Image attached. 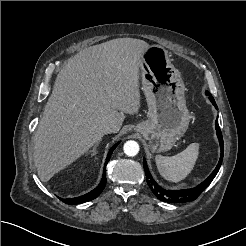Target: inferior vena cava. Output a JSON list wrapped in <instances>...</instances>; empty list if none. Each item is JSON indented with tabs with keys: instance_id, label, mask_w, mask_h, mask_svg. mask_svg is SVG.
Here are the masks:
<instances>
[{
	"instance_id": "inferior-vena-cava-1",
	"label": "inferior vena cava",
	"mask_w": 246,
	"mask_h": 246,
	"mask_svg": "<svg viewBox=\"0 0 246 246\" xmlns=\"http://www.w3.org/2000/svg\"><path fill=\"white\" fill-rule=\"evenodd\" d=\"M102 132L104 134L115 133L116 132V127L113 124H111V123H104L102 125Z\"/></svg>"
}]
</instances>
